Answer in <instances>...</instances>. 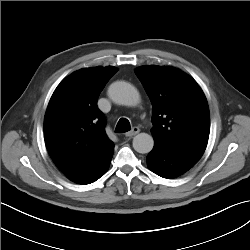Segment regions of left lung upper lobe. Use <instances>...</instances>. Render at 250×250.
Wrapping results in <instances>:
<instances>
[{"label": "left lung upper lobe", "mask_w": 250, "mask_h": 250, "mask_svg": "<svg viewBox=\"0 0 250 250\" xmlns=\"http://www.w3.org/2000/svg\"><path fill=\"white\" fill-rule=\"evenodd\" d=\"M135 72L152 102L154 142L167 148L204 152L210 115L200 86L170 66H141Z\"/></svg>", "instance_id": "obj_1"}]
</instances>
